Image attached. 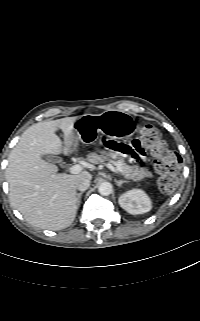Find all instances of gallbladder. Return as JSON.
<instances>
[{
  "label": "gallbladder",
  "instance_id": "obj_1",
  "mask_svg": "<svg viewBox=\"0 0 200 321\" xmlns=\"http://www.w3.org/2000/svg\"><path fill=\"white\" fill-rule=\"evenodd\" d=\"M43 159L52 163H61V158L52 155H43Z\"/></svg>",
  "mask_w": 200,
  "mask_h": 321
}]
</instances>
